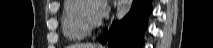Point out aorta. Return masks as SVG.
<instances>
[{
	"label": "aorta",
	"instance_id": "obj_1",
	"mask_svg": "<svg viewBox=\"0 0 213 48\" xmlns=\"http://www.w3.org/2000/svg\"><path fill=\"white\" fill-rule=\"evenodd\" d=\"M133 0H118L116 9V19L122 20L130 11Z\"/></svg>",
	"mask_w": 213,
	"mask_h": 48
}]
</instances>
